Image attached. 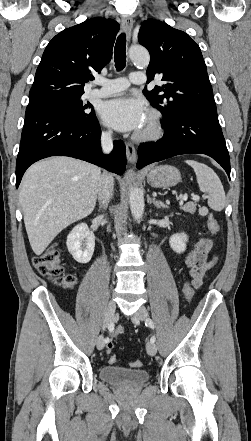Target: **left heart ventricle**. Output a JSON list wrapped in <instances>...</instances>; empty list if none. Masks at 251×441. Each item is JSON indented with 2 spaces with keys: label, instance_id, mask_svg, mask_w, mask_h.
Returning a JSON list of instances; mask_svg holds the SVG:
<instances>
[{
  "label": "left heart ventricle",
  "instance_id": "left-heart-ventricle-1",
  "mask_svg": "<svg viewBox=\"0 0 251 441\" xmlns=\"http://www.w3.org/2000/svg\"><path fill=\"white\" fill-rule=\"evenodd\" d=\"M147 124H148V120L146 119L145 125H144V127L142 128V131H144V130L146 129Z\"/></svg>",
  "mask_w": 251,
  "mask_h": 441
}]
</instances>
